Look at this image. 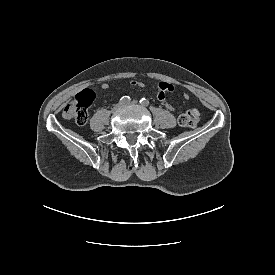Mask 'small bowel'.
Wrapping results in <instances>:
<instances>
[{"instance_id": "1", "label": "small bowel", "mask_w": 275, "mask_h": 275, "mask_svg": "<svg viewBox=\"0 0 275 275\" xmlns=\"http://www.w3.org/2000/svg\"><path fill=\"white\" fill-rule=\"evenodd\" d=\"M131 85L135 86V87H138V88H143L145 86V84L141 81H132L131 82ZM108 88V85L107 84H102L101 85V89L102 90H106ZM174 91V87L169 84V83H166V82H161L159 85H158V88H157V99L158 101L167 109L169 110H174V108L169 104V102L167 101V94L168 93H171ZM183 100H188L189 99V95L187 93H184L183 96H182Z\"/></svg>"}]
</instances>
